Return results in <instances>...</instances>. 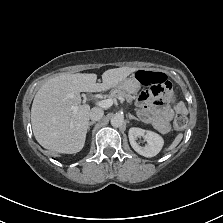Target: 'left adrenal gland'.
Returning a JSON list of instances; mask_svg holds the SVG:
<instances>
[{
  "label": "left adrenal gland",
  "mask_w": 223,
  "mask_h": 223,
  "mask_svg": "<svg viewBox=\"0 0 223 223\" xmlns=\"http://www.w3.org/2000/svg\"><path fill=\"white\" fill-rule=\"evenodd\" d=\"M129 119H135L137 121H139V119L135 116H133L132 114L128 113Z\"/></svg>",
  "instance_id": "1"
}]
</instances>
